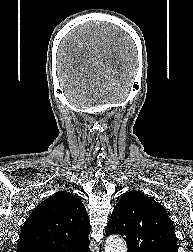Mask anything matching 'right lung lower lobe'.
<instances>
[{
	"label": "right lung lower lobe",
	"mask_w": 193,
	"mask_h": 252,
	"mask_svg": "<svg viewBox=\"0 0 193 252\" xmlns=\"http://www.w3.org/2000/svg\"><path fill=\"white\" fill-rule=\"evenodd\" d=\"M82 252H90V249L87 248V249L83 250Z\"/></svg>",
	"instance_id": "1"
}]
</instances>
